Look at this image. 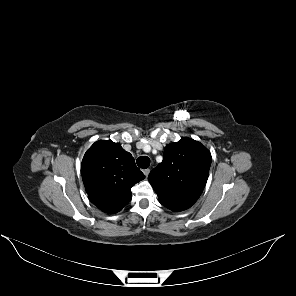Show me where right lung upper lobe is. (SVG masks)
Wrapping results in <instances>:
<instances>
[{"label": "right lung upper lobe", "mask_w": 296, "mask_h": 296, "mask_svg": "<svg viewBox=\"0 0 296 296\" xmlns=\"http://www.w3.org/2000/svg\"><path fill=\"white\" fill-rule=\"evenodd\" d=\"M81 174L89 200L109 214L127 205L132 186L145 178L132 155L111 140H99L87 150Z\"/></svg>", "instance_id": "right-lung-upper-lobe-1"}]
</instances>
